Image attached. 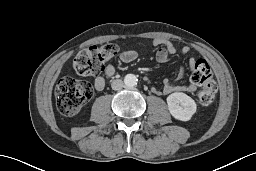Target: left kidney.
<instances>
[{
  "instance_id": "5707ae66",
  "label": "left kidney",
  "mask_w": 256,
  "mask_h": 171,
  "mask_svg": "<svg viewBox=\"0 0 256 171\" xmlns=\"http://www.w3.org/2000/svg\"><path fill=\"white\" fill-rule=\"evenodd\" d=\"M170 114L177 120L189 121L196 112L195 101L182 92H175L167 97Z\"/></svg>"
}]
</instances>
